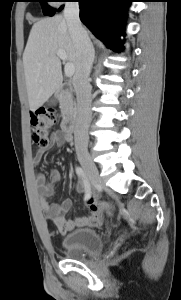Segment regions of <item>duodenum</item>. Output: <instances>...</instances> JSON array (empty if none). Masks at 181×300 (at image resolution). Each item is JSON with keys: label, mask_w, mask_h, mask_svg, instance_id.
Wrapping results in <instances>:
<instances>
[{"label": "duodenum", "mask_w": 181, "mask_h": 300, "mask_svg": "<svg viewBox=\"0 0 181 300\" xmlns=\"http://www.w3.org/2000/svg\"><path fill=\"white\" fill-rule=\"evenodd\" d=\"M70 83H63L54 93L56 98H59L62 94H64L67 90L71 88ZM79 116V112L76 111L67 115L63 121V129L68 134H73L76 130L77 119Z\"/></svg>", "instance_id": "410a0bca"}]
</instances>
